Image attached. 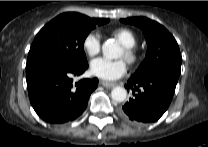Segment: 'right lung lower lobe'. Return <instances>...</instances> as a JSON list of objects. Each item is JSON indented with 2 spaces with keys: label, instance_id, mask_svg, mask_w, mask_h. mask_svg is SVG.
Returning a JSON list of instances; mask_svg holds the SVG:
<instances>
[{
  "label": "right lung lower lobe",
  "instance_id": "1",
  "mask_svg": "<svg viewBox=\"0 0 208 147\" xmlns=\"http://www.w3.org/2000/svg\"><path fill=\"white\" fill-rule=\"evenodd\" d=\"M88 64L78 66L63 60H44L26 65L30 102L40 118L48 123L62 124L76 119L87 106L98 79L73 82Z\"/></svg>",
  "mask_w": 208,
  "mask_h": 147
}]
</instances>
